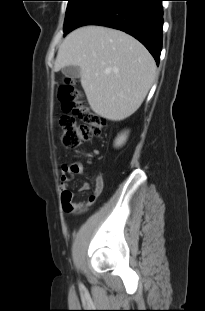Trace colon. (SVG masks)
<instances>
[{
    "mask_svg": "<svg viewBox=\"0 0 205 311\" xmlns=\"http://www.w3.org/2000/svg\"><path fill=\"white\" fill-rule=\"evenodd\" d=\"M82 96V92L71 80L65 81L58 87L57 98L66 113L58 120L62 130L61 144L66 149H77L92 137L99 135L104 126L103 119L92 112ZM75 117L80 120V123Z\"/></svg>",
    "mask_w": 205,
    "mask_h": 311,
    "instance_id": "colon-1",
    "label": "colon"
}]
</instances>
